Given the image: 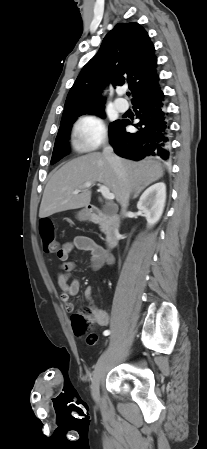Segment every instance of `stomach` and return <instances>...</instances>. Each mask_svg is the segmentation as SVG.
I'll list each match as a JSON object with an SVG mask.
<instances>
[{"mask_svg":"<svg viewBox=\"0 0 207 449\" xmlns=\"http://www.w3.org/2000/svg\"><path fill=\"white\" fill-rule=\"evenodd\" d=\"M77 218L81 221L87 220L89 218V212L87 209H83L77 213Z\"/></svg>","mask_w":207,"mask_h":449,"instance_id":"1","label":"stomach"}]
</instances>
